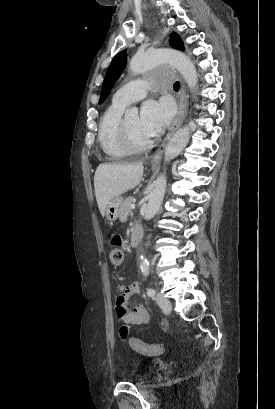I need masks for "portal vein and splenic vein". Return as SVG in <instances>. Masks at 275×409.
Wrapping results in <instances>:
<instances>
[{"instance_id":"1","label":"portal vein and splenic vein","mask_w":275,"mask_h":409,"mask_svg":"<svg viewBox=\"0 0 275 409\" xmlns=\"http://www.w3.org/2000/svg\"><path fill=\"white\" fill-rule=\"evenodd\" d=\"M131 209H135V205H130Z\"/></svg>"}]
</instances>
